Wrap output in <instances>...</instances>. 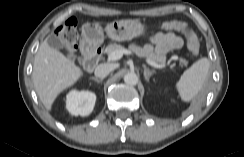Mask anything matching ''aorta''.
I'll use <instances>...</instances> for the list:
<instances>
[{
	"label": "aorta",
	"mask_w": 244,
	"mask_h": 157,
	"mask_svg": "<svg viewBox=\"0 0 244 157\" xmlns=\"http://www.w3.org/2000/svg\"><path fill=\"white\" fill-rule=\"evenodd\" d=\"M124 82L129 85H136L138 83V76L134 72H129L125 74Z\"/></svg>",
	"instance_id": "obj_1"
}]
</instances>
